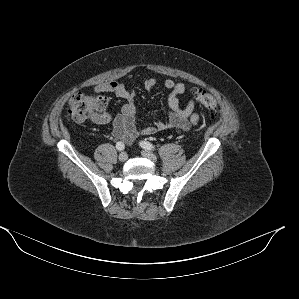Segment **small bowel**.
<instances>
[{
	"instance_id": "c3829d8e",
	"label": "small bowel",
	"mask_w": 299,
	"mask_h": 299,
	"mask_svg": "<svg viewBox=\"0 0 299 299\" xmlns=\"http://www.w3.org/2000/svg\"><path fill=\"white\" fill-rule=\"evenodd\" d=\"M157 84L158 80L154 77L143 81L146 90H152ZM163 86L169 91L166 101L167 118L150 125L140 126L136 116L134 94L124 83L112 80L96 85L93 89L95 93H111L124 100L121 114L112 118L109 113H102L96 117V122L99 124L112 122L114 136L126 144L133 143L140 135H152L163 130L185 131L197 124L200 114L195 100H189L185 107H181L179 103V96L188 90L187 84L166 79L163 81Z\"/></svg>"
}]
</instances>
